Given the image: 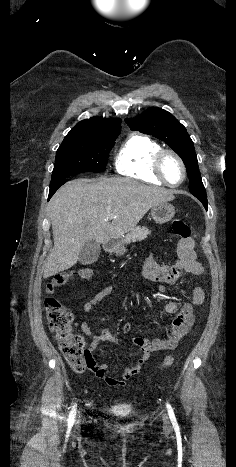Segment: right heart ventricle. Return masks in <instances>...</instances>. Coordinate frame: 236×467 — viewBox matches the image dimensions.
Masks as SVG:
<instances>
[{
    "instance_id": "1",
    "label": "right heart ventricle",
    "mask_w": 236,
    "mask_h": 467,
    "mask_svg": "<svg viewBox=\"0 0 236 467\" xmlns=\"http://www.w3.org/2000/svg\"><path fill=\"white\" fill-rule=\"evenodd\" d=\"M161 149L159 143L146 135H130L117 152L115 169L120 175L161 185L153 172L154 157Z\"/></svg>"
}]
</instances>
